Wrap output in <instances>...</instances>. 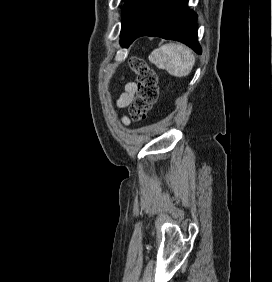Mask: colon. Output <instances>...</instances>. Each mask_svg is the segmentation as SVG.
<instances>
[{
	"mask_svg": "<svg viewBox=\"0 0 272 282\" xmlns=\"http://www.w3.org/2000/svg\"><path fill=\"white\" fill-rule=\"evenodd\" d=\"M131 69L137 75V89L130 105V115L134 120H141L146 118L156 103L158 76L155 70L138 58L131 61Z\"/></svg>",
	"mask_w": 272,
	"mask_h": 282,
	"instance_id": "5ec220e1",
	"label": "colon"
}]
</instances>
